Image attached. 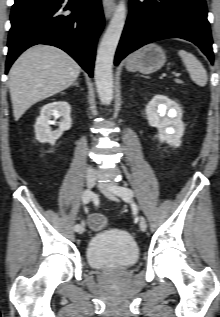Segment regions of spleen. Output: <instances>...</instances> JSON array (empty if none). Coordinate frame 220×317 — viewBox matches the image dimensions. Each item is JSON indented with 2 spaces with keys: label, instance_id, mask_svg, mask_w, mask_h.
<instances>
[{
  "label": "spleen",
  "instance_id": "obj_1",
  "mask_svg": "<svg viewBox=\"0 0 220 317\" xmlns=\"http://www.w3.org/2000/svg\"><path fill=\"white\" fill-rule=\"evenodd\" d=\"M178 54L188 70L192 81L199 86H205L208 76L202 63L192 53L185 50H179Z\"/></svg>",
  "mask_w": 220,
  "mask_h": 317
}]
</instances>
